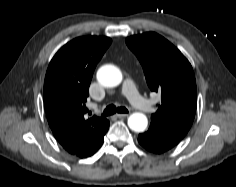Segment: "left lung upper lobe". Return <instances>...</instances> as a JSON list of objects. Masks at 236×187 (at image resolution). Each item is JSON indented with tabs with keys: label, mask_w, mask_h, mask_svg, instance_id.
Instances as JSON below:
<instances>
[{
	"label": "left lung upper lobe",
	"mask_w": 236,
	"mask_h": 187,
	"mask_svg": "<svg viewBox=\"0 0 236 187\" xmlns=\"http://www.w3.org/2000/svg\"><path fill=\"white\" fill-rule=\"evenodd\" d=\"M126 44L139 59L149 88L161 93V104L151 115L149 129L183 139L197 106L191 64L174 45L154 32L128 37Z\"/></svg>",
	"instance_id": "5c2ea615"
}]
</instances>
